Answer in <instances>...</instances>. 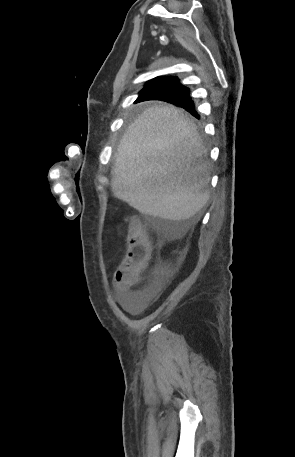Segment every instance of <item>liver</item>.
<instances>
[{
  "label": "liver",
  "instance_id": "liver-1",
  "mask_svg": "<svg viewBox=\"0 0 295 457\" xmlns=\"http://www.w3.org/2000/svg\"><path fill=\"white\" fill-rule=\"evenodd\" d=\"M196 126L170 104L147 108L118 146L114 196L143 214L185 221L209 199V163Z\"/></svg>",
  "mask_w": 295,
  "mask_h": 457
}]
</instances>
